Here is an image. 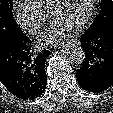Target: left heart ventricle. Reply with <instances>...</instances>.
I'll return each mask as SVG.
<instances>
[{"mask_svg":"<svg viewBox=\"0 0 113 113\" xmlns=\"http://www.w3.org/2000/svg\"><path fill=\"white\" fill-rule=\"evenodd\" d=\"M89 0H63L59 4L53 20L72 28L79 23L87 12Z\"/></svg>","mask_w":113,"mask_h":113,"instance_id":"left-heart-ventricle-1","label":"left heart ventricle"}]
</instances>
